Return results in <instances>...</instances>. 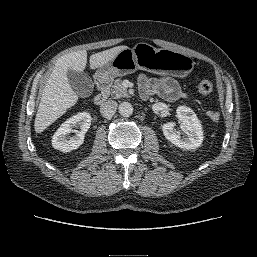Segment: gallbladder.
I'll return each instance as SVG.
<instances>
[{"instance_id":"gallbladder-1","label":"gallbladder","mask_w":257,"mask_h":257,"mask_svg":"<svg viewBox=\"0 0 257 257\" xmlns=\"http://www.w3.org/2000/svg\"><path fill=\"white\" fill-rule=\"evenodd\" d=\"M67 76L73 91L78 96L87 97L91 95L94 84L87 73L69 70Z\"/></svg>"}]
</instances>
